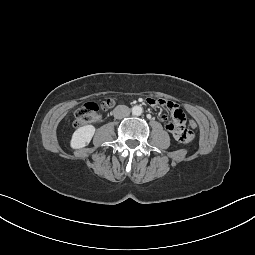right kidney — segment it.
Returning <instances> with one entry per match:
<instances>
[{"label":"right kidney","mask_w":255,"mask_h":255,"mask_svg":"<svg viewBox=\"0 0 255 255\" xmlns=\"http://www.w3.org/2000/svg\"><path fill=\"white\" fill-rule=\"evenodd\" d=\"M95 127L86 125L79 127L72 135L70 145L73 149H80L88 145L95 133Z\"/></svg>","instance_id":"obj_1"}]
</instances>
